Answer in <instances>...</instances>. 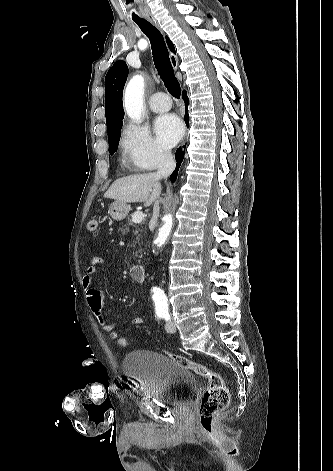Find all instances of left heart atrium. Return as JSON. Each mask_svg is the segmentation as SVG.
Returning a JSON list of instances; mask_svg holds the SVG:
<instances>
[{
  "label": "left heart atrium",
  "instance_id": "left-heart-atrium-1",
  "mask_svg": "<svg viewBox=\"0 0 333 471\" xmlns=\"http://www.w3.org/2000/svg\"><path fill=\"white\" fill-rule=\"evenodd\" d=\"M155 132L164 146L171 147L181 138L183 125L177 116L172 114L163 115L155 122Z\"/></svg>",
  "mask_w": 333,
  "mask_h": 471
}]
</instances>
